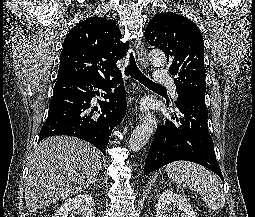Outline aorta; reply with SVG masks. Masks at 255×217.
I'll return each mask as SVG.
<instances>
[{
  "instance_id": "aorta-1",
  "label": "aorta",
  "mask_w": 255,
  "mask_h": 217,
  "mask_svg": "<svg viewBox=\"0 0 255 217\" xmlns=\"http://www.w3.org/2000/svg\"><path fill=\"white\" fill-rule=\"evenodd\" d=\"M151 64L155 66H164L167 62L165 54L160 50H152L148 54ZM154 122L145 121L144 123L137 126L131 134L129 140V149L131 151L140 150L149 140L153 133Z\"/></svg>"
}]
</instances>
